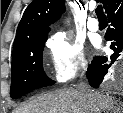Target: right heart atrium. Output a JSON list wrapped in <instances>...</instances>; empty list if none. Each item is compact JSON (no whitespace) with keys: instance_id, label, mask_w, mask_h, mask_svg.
<instances>
[{"instance_id":"right-heart-atrium-1","label":"right heart atrium","mask_w":123,"mask_h":113,"mask_svg":"<svg viewBox=\"0 0 123 113\" xmlns=\"http://www.w3.org/2000/svg\"><path fill=\"white\" fill-rule=\"evenodd\" d=\"M52 73L58 83L66 84L87 65L82 43L70 32H57L47 41Z\"/></svg>"}]
</instances>
